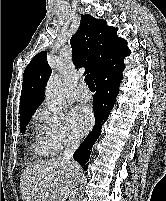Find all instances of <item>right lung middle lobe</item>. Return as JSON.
Segmentation results:
<instances>
[{"label": "right lung middle lobe", "instance_id": "obj_1", "mask_svg": "<svg viewBox=\"0 0 166 201\" xmlns=\"http://www.w3.org/2000/svg\"><path fill=\"white\" fill-rule=\"evenodd\" d=\"M32 115H27L22 118H20V132L24 133L25 132V126L30 120Z\"/></svg>", "mask_w": 166, "mask_h": 201}]
</instances>
